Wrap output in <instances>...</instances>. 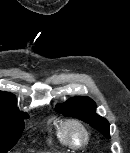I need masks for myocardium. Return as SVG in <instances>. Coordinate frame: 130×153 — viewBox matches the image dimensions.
<instances>
[{
  "label": "myocardium",
  "mask_w": 130,
  "mask_h": 153,
  "mask_svg": "<svg viewBox=\"0 0 130 153\" xmlns=\"http://www.w3.org/2000/svg\"><path fill=\"white\" fill-rule=\"evenodd\" d=\"M77 128L82 134V140L79 143H75L70 136V129ZM62 131L67 144L74 149L83 147L89 139V131L85 124L77 118H69L62 123Z\"/></svg>",
  "instance_id": "myocardium-1"
}]
</instances>
